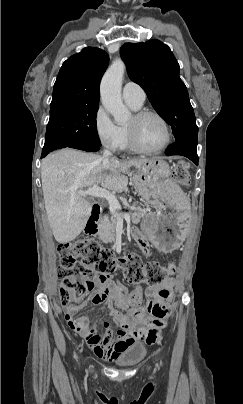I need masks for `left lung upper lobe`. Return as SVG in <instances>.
Returning a JSON list of instances; mask_svg holds the SVG:
<instances>
[{
  "mask_svg": "<svg viewBox=\"0 0 243 404\" xmlns=\"http://www.w3.org/2000/svg\"><path fill=\"white\" fill-rule=\"evenodd\" d=\"M130 79L146 92L157 113L171 126L175 141L198 140V127L179 64L158 40L126 43L120 49Z\"/></svg>",
  "mask_w": 243,
  "mask_h": 404,
  "instance_id": "obj_1",
  "label": "left lung upper lobe"
}]
</instances>
